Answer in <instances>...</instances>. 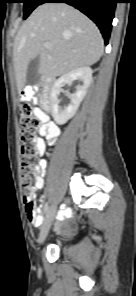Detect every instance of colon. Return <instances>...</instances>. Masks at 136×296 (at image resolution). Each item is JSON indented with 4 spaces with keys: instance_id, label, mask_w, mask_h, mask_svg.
<instances>
[{
    "instance_id": "1",
    "label": "colon",
    "mask_w": 136,
    "mask_h": 296,
    "mask_svg": "<svg viewBox=\"0 0 136 296\" xmlns=\"http://www.w3.org/2000/svg\"><path fill=\"white\" fill-rule=\"evenodd\" d=\"M32 95V88L30 91L25 89L19 104L23 197L27 218L31 222L39 220V214L35 208L33 184L37 178L36 156L38 154L35 133L40 126V121L37 116L38 110L29 102Z\"/></svg>"
}]
</instances>
